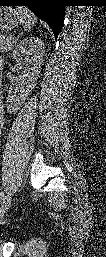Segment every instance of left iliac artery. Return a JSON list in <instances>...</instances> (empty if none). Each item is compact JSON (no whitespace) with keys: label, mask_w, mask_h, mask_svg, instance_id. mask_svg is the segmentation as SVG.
Masks as SVG:
<instances>
[{"label":"left iliac artery","mask_w":106,"mask_h":257,"mask_svg":"<svg viewBox=\"0 0 106 257\" xmlns=\"http://www.w3.org/2000/svg\"><path fill=\"white\" fill-rule=\"evenodd\" d=\"M0 199H1V201L4 199V192L3 191L0 192Z\"/></svg>","instance_id":"44dca946"}]
</instances>
